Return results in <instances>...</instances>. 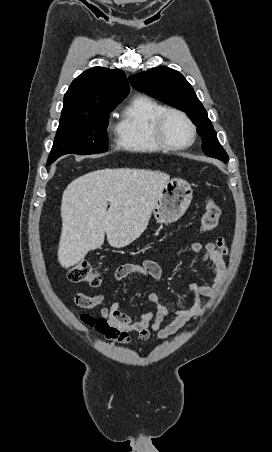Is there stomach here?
Segmentation results:
<instances>
[{
	"instance_id": "stomach-1",
	"label": "stomach",
	"mask_w": 272,
	"mask_h": 452,
	"mask_svg": "<svg viewBox=\"0 0 272 452\" xmlns=\"http://www.w3.org/2000/svg\"><path fill=\"white\" fill-rule=\"evenodd\" d=\"M193 190L188 182L180 178L169 180L153 208L157 223L170 224L177 221L188 209Z\"/></svg>"
}]
</instances>
